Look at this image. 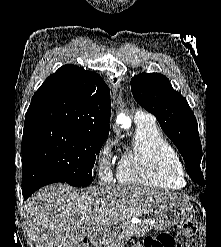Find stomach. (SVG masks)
Wrapping results in <instances>:
<instances>
[{"label":"stomach","instance_id":"1","mask_svg":"<svg viewBox=\"0 0 221 247\" xmlns=\"http://www.w3.org/2000/svg\"><path fill=\"white\" fill-rule=\"evenodd\" d=\"M190 212V203L186 199L176 197L154 211V224L150 225V229L160 231L171 228L187 218Z\"/></svg>","mask_w":221,"mask_h":247}]
</instances>
